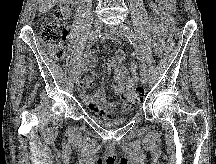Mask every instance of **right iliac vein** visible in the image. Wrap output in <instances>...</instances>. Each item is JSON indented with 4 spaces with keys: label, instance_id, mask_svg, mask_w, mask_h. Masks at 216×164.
<instances>
[{
    "label": "right iliac vein",
    "instance_id": "right-iliac-vein-1",
    "mask_svg": "<svg viewBox=\"0 0 216 164\" xmlns=\"http://www.w3.org/2000/svg\"><path fill=\"white\" fill-rule=\"evenodd\" d=\"M92 26H93L94 32L99 31V30L101 29V27H102V22H101V20L96 19V20L93 22V25H92ZM81 76H82V71H80L79 73L76 72V74H75V83H76V84H79L80 79H81Z\"/></svg>",
    "mask_w": 216,
    "mask_h": 164
}]
</instances>
